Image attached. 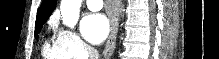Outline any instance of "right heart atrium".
Returning a JSON list of instances; mask_svg holds the SVG:
<instances>
[{
  "mask_svg": "<svg viewBox=\"0 0 219 59\" xmlns=\"http://www.w3.org/2000/svg\"><path fill=\"white\" fill-rule=\"evenodd\" d=\"M57 35L71 58L82 59L91 54V48L76 32L69 29H60Z\"/></svg>",
  "mask_w": 219,
  "mask_h": 59,
  "instance_id": "obj_1",
  "label": "right heart atrium"
}]
</instances>
